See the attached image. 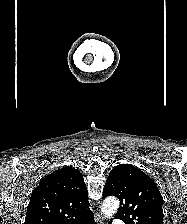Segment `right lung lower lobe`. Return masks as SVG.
Returning a JSON list of instances; mask_svg holds the SVG:
<instances>
[{
  "label": "right lung lower lobe",
  "mask_w": 187,
  "mask_h": 224,
  "mask_svg": "<svg viewBox=\"0 0 187 224\" xmlns=\"http://www.w3.org/2000/svg\"><path fill=\"white\" fill-rule=\"evenodd\" d=\"M85 224H96V223H95L94 218H93L90 221L86 222Z\"/></svg>",
  "instance_id": "obj_1"
}]
</instances>
